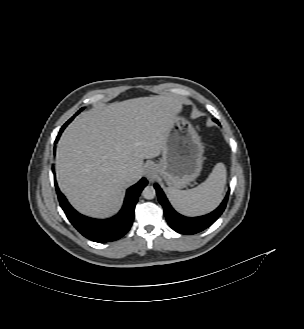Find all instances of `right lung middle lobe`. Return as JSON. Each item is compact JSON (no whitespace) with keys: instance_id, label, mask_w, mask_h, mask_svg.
I'll list each match as a JSON object with an SVG mask.
<instances>
[{"instance_id":"obj_1","label":"right lung middle lobe","mask_w":304,"mask_h":329,"mask_svg":"<svg viewBox=\"0 0 304 329\" xmlns=\"http://www.w3.org/2000/svg\"><path fill=\"white\" fill-rule=\"evenodd\" d=\"M84 108H81L68 122H66V124H64V127H66L72 120H73V118L77 115V114H79L82 110H83Z\"/></svg>"}]
</instances>
